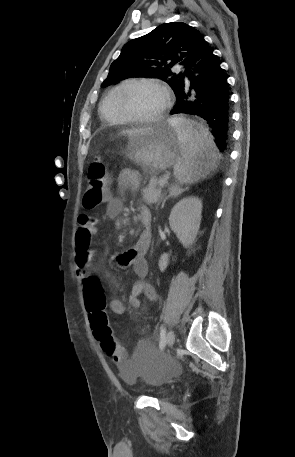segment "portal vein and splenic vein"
I'll use <instances>...</instances> for the list:
<instances>
[{
  "label": "portal vein and splenic vein",
  "instance_id": "obj_1",
  "mask_svg": "<svg viewBox=\"0 0 295 457\" xmlns=\"http://www.w3.org/2000/svg\"><path fill=\"white\" fill-rule=\"evenodd\" d=\"M166 183H167V179H166V178H161V179L159 180V185H160L161 187L165 186Z\"/></svg>",
  "mask_w": 295,
  "mask_h": 457
}]
</instances>
